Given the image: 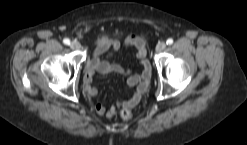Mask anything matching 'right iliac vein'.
<instances>
[{
	"label": "right iliac vein",
	"mask_w": 247,
	"mask_h": 145,
	"mask_svg": "<svg viewBox=\"0 0 247 145\" xmlns=\"http://www.w3.org/2000/svg\"><path fill=\"white\" fill-rule=\"evenodd\" d=\"M70 47H71L72 49H79V48H80V44H79L77 41H72V42L70 43Z\"/></svg>",
	"instance_id": "right-iliac-vein-1"
}]
</instances>
